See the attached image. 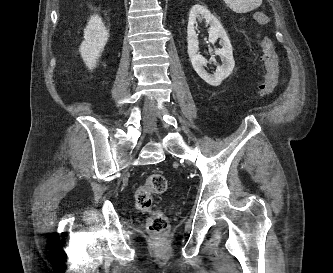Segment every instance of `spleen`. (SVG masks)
<instances>
[{
	"mask_svg": "<svg viewBox=\"0 0 333 273\" xmlns=\"http://www.w3.org/2000/svg\"><path fill=\"white\" fill-rule=\"evenodd\" d=\"M224 2L236 13L252 11L262 4V0H224Z\"/></svg>",
	"mask_w": 333,
	"mask_h": 273,
	"instance_id": "obj_1",
	"label": "spleen"
}]
</instances>
